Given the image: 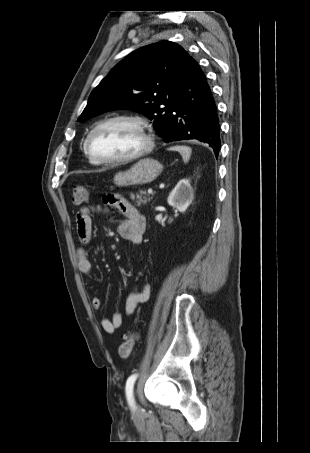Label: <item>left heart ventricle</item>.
Returning <instances> with one entry per match:
<instances>
[{
  "label": "left heart ventricle",
  "mask_w": 310,
  "mask_h": 453,
  "mask_svg": "<svg viewBox=\"0 0 310 453\" xmlns=\"http://www.w3.org/2000/svg\"><path fill=\"white\" fill-rule=\"evenodd\" d=\"M144 138L138 128L128 122H113L101 127L92 137L94 153L104 158H121L138 151Z\"/></svg>",
  "instance_id": "1"
}]
</instances>
